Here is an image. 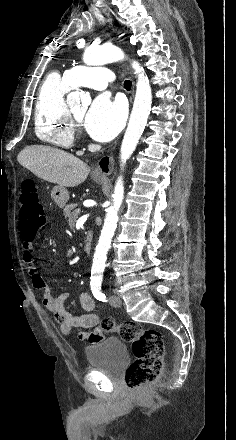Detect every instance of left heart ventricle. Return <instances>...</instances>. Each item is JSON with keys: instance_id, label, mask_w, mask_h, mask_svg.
Here are the masks:
<instances>
[{"instance_id": "left-heart-ventricle-1", "label": "left heart ventricle", "mask_w": 236, "mask_h": 440, "mask_svg": "<svg viewBox=\"0 0 236 440\" xmlns=\"http://www.w3.org/2000/svg\"><path fill=\"white\" fill-rule=\"evenodd\" d=\"M72 112H73L74 116H75L80 122H82V121H83V118H84V115H85V112H86V109H85V108H81V107H79V108H75V109H73Z\"/></svg>"}]
</instances>
